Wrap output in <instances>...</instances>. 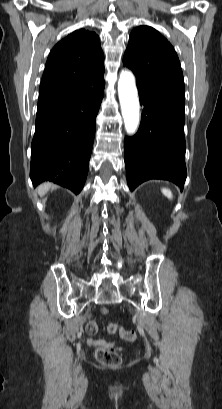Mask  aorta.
I'll list each match as a JSON object with an SVG mask.
<instances>
[{
	"mask_svg": "<svg viewBox=\"0 0 222 409\" xmlns=\"http://www.w3.org/2000/svg\"><path fill=\"white\" fill-rule=\"evenodd\" d=\"M118 94L125 130L129 135H133L139 125V100L135 78L131 72H121L118 81Z\"/></svg>",
	"mask_w": 222,
	"mask_h": 409,
	"instance_id": "aorta-1",
	"label": "aorta"
}]
</instances>
